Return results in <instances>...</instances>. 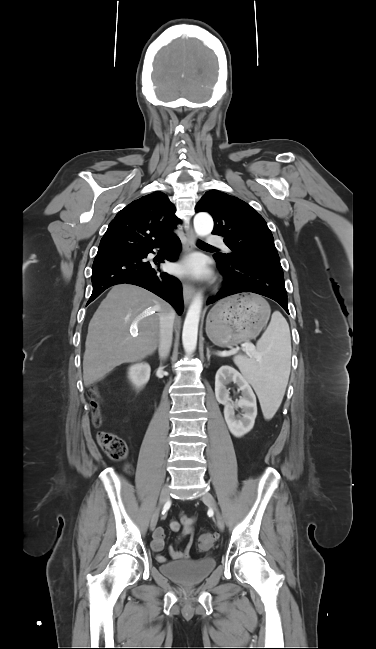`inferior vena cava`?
<instances>
[{
	"instance_id": "obj_1",
	"label": "inferior vena cava",
	"mask_w": 376,
	"mask_h": 649,
	"mask_svg": "<svg viewBox=\"0 0 376 649\" xmlns=\"http://www.w3.org/2000/svg\"><path fill=\"white\" fill-rule=\"evenodd\" d=\"M174 319L175 312L172 309L163 313L160 317L158 352L162 360L167 358L171 349Z\"/></svg>"
}]
</instances>
